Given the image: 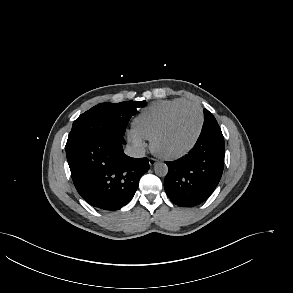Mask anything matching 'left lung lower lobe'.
Listing matches in <instances>:
<instances>
[{"label": "left lung lower lobe", "instance_id": "1", "mask_svg": "<svg viewBox=\"0 0 293 293\" xmlns=\"http://www.w3.org/2000/svg\"><path fill=\"white\" fill-rule=\"evenodd\" d=\"M224 138L219 125L203 128L192 150L169 168L164 187L178 206L192 207L204 202L215 190L224 167Z\"/></svg>", "mask_w": 293, "mask_h": 293}]
</instances>
